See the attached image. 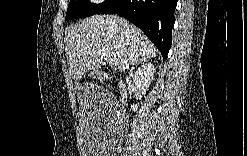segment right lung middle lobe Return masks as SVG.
I'll return each mask as SVG.
<instances>
[{
  "label": "right lung middle lobe",
  "mask_w": 247,
  "mask_h": 156,
  "mask_svg": "<svg viewBox=\"0 0 247 156\" xmlns=\"http://www.w3.org/2000/svg\"><path fill=\"white\" fill-rule=\"evenodd\" d=\"M106 2L107 0L100 4H94L89 0H70L66 13V20L94 15Z\"/></svg>",
  "instance_id": "obj_1"
}]
</instances>
